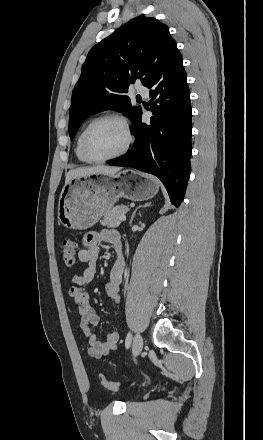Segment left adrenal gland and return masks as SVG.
<instances>
[{"mask_svg": "<svg viewBox=\"0 0 263 440\" xmlns=\"http://www.w3.org/2000/svg\"><path fill=\"white\" fill-rule=\"evenodd\" d=\"M150 205H151V202L146 203L145 205L138 206V207L135 209V211L133 212L132 216H131V219H130V225H131L132 222H133V219H134V217H135V214H136L137 210L140 209V208H143V207H149Z\"/></svg>", "mask_w": 263, "mask_h": 440, "instance_id": "a2214340", "label": "left adrenal gland"}]
</instances>
